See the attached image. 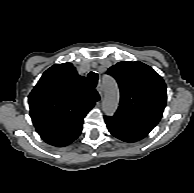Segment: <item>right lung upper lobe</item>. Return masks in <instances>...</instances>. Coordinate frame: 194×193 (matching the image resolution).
<instances>
[{
	"label": "right lung upper lobe",
	"instance_id": "1",
	"mask_svg": "<svg viewBox=\"0 0 194 193\" xmlns=\"http://www.w3.org/2000/svg\"><path fill=\"white\" fill-rule=\"evenodd\" d=\"M28 99L36 131L47 140L82 124L99 95L71 63H63L44 72Z\"/></svg>",
	"mask_w": 194,
	"mask_h": 193
}]
</instances>
